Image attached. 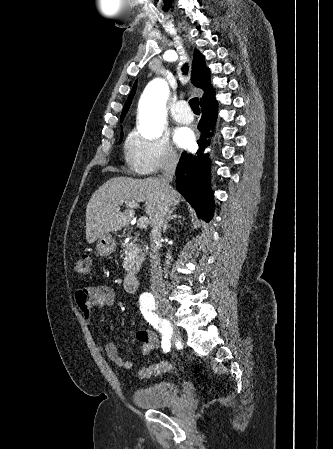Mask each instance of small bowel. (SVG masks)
<instances>
[{
    "label": "small bowel",
    "mask_w": 333,
    "mask_h": 449,
    "mask_svg": "<svg viewBox=\"0 0 333 449\" xmlns=\"http://www.w3.org/2000/svg\"><path fill=\"white\" fill-rule=\"evenodd\" d=\"M116 295L114 290L106 285L85 287L75 292V302L81 312L83 320L89 326L94 325L97 311L110 308L114 305ZM136 339L140 343L142 355L150 354L159 344L157 335L147 329H140L136 333ZM106 356L119 368L131 369L133 361L123 358L113 342H107L103 346Z\"/></svg>",
    "instance_id": "1"
}]
</instances>
